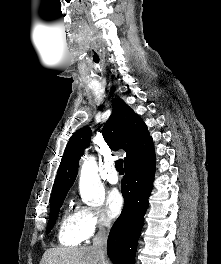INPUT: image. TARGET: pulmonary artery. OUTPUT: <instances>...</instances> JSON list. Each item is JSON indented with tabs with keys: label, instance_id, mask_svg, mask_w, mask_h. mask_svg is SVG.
I'll return each mask as SVG.
<instances>
[{
	"label": "pulmonary artery",
	"instance_id": "pulmonary-artery-1",
	"mask_svg": "<svg viewBox=\"0 0 221 264\" xmlns=\"http://www.w3.org/2000/svg\"><path fill=\"white\" fill-rule=\"evenodd\" d=\"M107 180L111 184H116L119 181L118 173L114 166L110 167L107 175Z\"/></svg>",
	"mask_w": 221,
	"mask_h": 264
}]
</instances>
